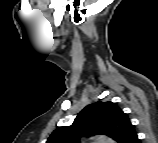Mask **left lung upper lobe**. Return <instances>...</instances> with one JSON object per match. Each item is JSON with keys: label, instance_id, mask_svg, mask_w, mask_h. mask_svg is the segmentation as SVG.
<instances>
[{"label": "left lung upper lobe", "instance_id": "1", "mask_svg": "<svg viewBox=\"0 0 158 143\" xmlns=\"http://www.w3.org/2000/svg\"><path fill=\"white\" fill-rule=\"evenodd\" d=\"M105 134L117 143H130L136 136L134 125L113 102H95L86 106L70 126L53 131L47 143H72L81 135Z\"/></svg>", "mask_w": 158, "mask_h": 143}]
</instances>
